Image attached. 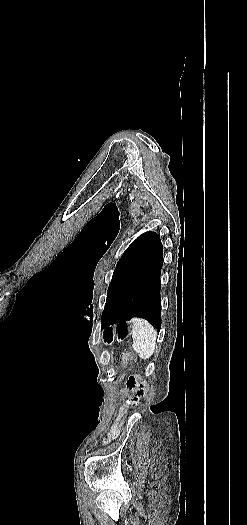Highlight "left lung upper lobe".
<instances>
[{"mask_svg":"<svg viewBox=\"0 0 247 525\" xmlns=\"http://www.w3.org/2000/svg\"><path fill=\"white\" fill-rule=\"evenodd\" d=\"M162 244L158 234L145 232L133 241L118 261L107 291L102 321L107 311L148 268Z\"/></svg>","mask_w":247,"mask_h":525,"instance_id":"obj_1","label":"left lung upper lobe"}]
</instances>
